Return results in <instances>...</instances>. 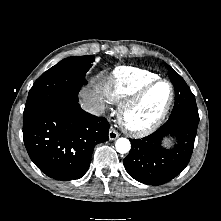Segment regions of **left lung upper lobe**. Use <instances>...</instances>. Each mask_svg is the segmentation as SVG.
Returning <instances> with one entry per match:
<instances>
[{
    "label": "left lung upper lobe",
    "mask_w": 221,
    "mask_h": 221,
    "mask_svg": "<svg viewBox=\"0 0 221 221\" xmlns=\"http://www.w3.org/2000/svg\"><path fill=\"white\" fill-rule=\"evenodd\" d=\"M168 73H169V78L173 85L181 84L185 86L186 88H189L187 84L185 83L184 79L178 73H176L175 70L171 68L170 66H168ZM193 109L194 110L192 112L185 114V117L191 121L199 122V115H198V109L196 106V101H195V106L193 107Z\"/></svg>",
    "instance_id": "1"
}]
</instances>
